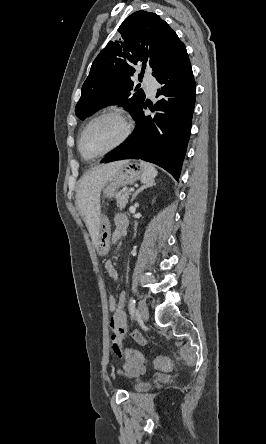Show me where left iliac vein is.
<instances>
[{
	"mask_svg": "<svg viewBox=\"0 0 266 444\" xmlns=\"http://www.w3.org/2000/svg\"><path fill=\"white\" fill-rule=\"evenodd\" d=\"M138 314L143 320H147L149 316V311L145 301L140 300L138 303Z\"/></svg>",
	"mask_w": 266,
	"mask_h": 444,
	"instance_id": "left-iliac-vein-1",
	"label": "left iliac vein"
}]
</instances>
